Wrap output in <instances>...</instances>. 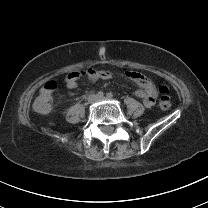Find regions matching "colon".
Returning <instances> with one entry per match:
<instances>
[{
  "label": "colon",
  "mask_w": 208,
  "mask_h": 208,
  "mask_svg": "<svg viewBox=\"0 0 208 208\" xmlns=\"http://www.w3.org/2000/svg\"><path fill=\"white\" fill-rule=\"evenodd\" d=\"M82 73L80 71L70 72L67 75V82L72 84L74 82V78H80ZM59 89V84L55 80H50L45 83L42 89L39 91L37 95V101L35 103V110L39 114H46L50 110V99H53L57 95V91ZM158 90L160 92L159 99V107L163 110H167L171 107V99L169 95L168 86L161 82L158 84Z\"/></svg>",
  "instance_id": "colon-1"
}]
</instances>
